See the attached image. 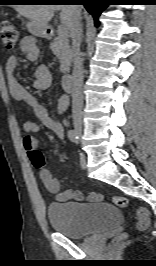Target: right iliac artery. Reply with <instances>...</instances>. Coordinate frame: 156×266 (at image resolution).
<instances>
[{"instance_id": "82829eb1", "label": "right iliac artery", "mask_w": 156, "mask_h": 266, "mask_svg": "<svg viewBox=\"0 0 156 266\" xmlns=\"http://www.w3.org/2000/svg\"><path fill=\"white\" fill-rule=\"evenodd\" d=\"M68 138H69L72 142H74V143H78L79 136H78V134L76 133L75 130L70 129V130L68 131Z\"/></svg>"}]
</instances>
